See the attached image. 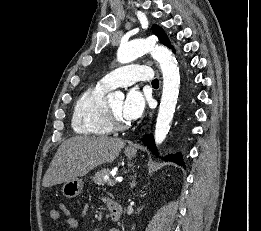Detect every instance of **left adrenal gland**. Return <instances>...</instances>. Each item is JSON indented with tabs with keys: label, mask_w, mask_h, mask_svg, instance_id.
Masks as SVG:
<instances>
[{
	"label": "left adrenal gland",
	"mask_w": 261,
	"mask_h": 231,
	"mask_svg": "<svg viewBox=\"0 0 261 231\" xmlns=\"http://www.w3.org/2000/svg\"><path fill=\"white\" fill-rule=\"evenodd\" d=\"M131 188H134L135 186H136V174H135V176L133 177V179H132V182H131Z\"/></svg>",
	"instance_id": "a2214340"
}]
</instances>
